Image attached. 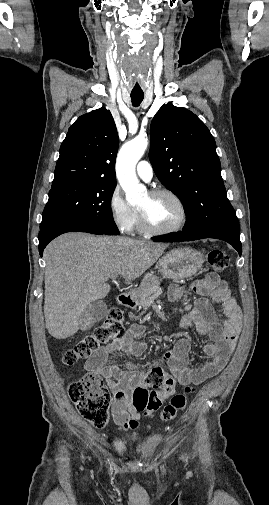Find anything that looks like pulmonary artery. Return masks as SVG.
<instances>
[{
    "instance_id": "obj_1",
    "label": "pulmonary artery",
    "mask_w": 269,
    "mask_h": 505,
    "mask_svg": "<svg viewBox=\"0 0 269 505\" xmlns=\"http://www.w3.org/2000/svg\"><path fill=\"white\" fill-rule=\"evenodd\" d=\"M136 171L137 175L144 181L148 182L153 177V168L146 160H142L137 164Z\"/></svg>"
}]
</instances>
